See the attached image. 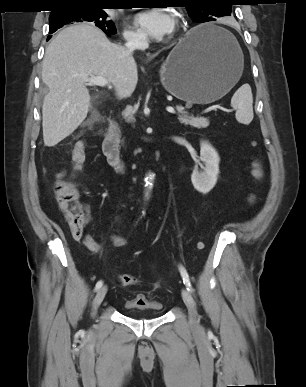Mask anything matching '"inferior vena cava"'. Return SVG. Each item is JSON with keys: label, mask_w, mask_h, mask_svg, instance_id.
Wrapping results in <instances>:
<instances>
[{"label": "inferior vena cava", "mask_w": 306, "mask_h": 387, "mask_svg": "<svg viewBox=\"0 0 306 387\" xmlns=\"http://www.w3.org/2000/svg\"><path fill=\"white\" fill-rule=\"evenodd\" d=\"M126 49L129 52H133L136 49H146L148 47V41L143 36H132L127 39V42L125 44ZM132 93L131 90L124 89L119 92V96L122 97H128Z\"/></svg>", "instance_id": "1"}]
</instances>
